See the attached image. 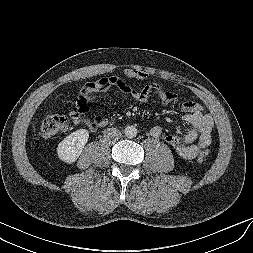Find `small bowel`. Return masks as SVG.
<instances>
[{
  "mask_svg": "<svg viewBox=\"0 0 253 253\" xmlns=\"http://www.w3.org/2000/svg\"><path fill=\"white\" fill-rule=\"evenodd\" d=\"M124 77L127 79H147L149 74L142 69L127 68L124 70ZM111 88H117L123 94L140 102H145L152 96H155L164 104L178 100L177 94L165 90L159 83L152 82L143 88L137 89L123 78L116 76L103 77L86 83L80 89L75 101V109L70 112L72 123L76 126H84L91 132H95L99 127L107 124L109 122L107 117L87 119L84 115L88 111V96ZM181 109L185 113L184 122L192 126V129L182 137L168 135L165 140L181 158L192 160L196 158L201 150L210 145L214 121L209 114L203 111L202 106L196 102L186 101L182 104ZM162 133L163 128L160 125L153 126L150 130V134L154 138H159Z\"/></svg>",
  "mask_w": 253,
  "mask_h": 253,
  "instance_id": "small-bowel-1",
  "label": "small bowel"
}]
</instances>
